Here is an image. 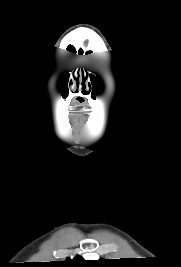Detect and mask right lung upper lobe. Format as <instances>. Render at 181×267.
I'll return each instance as SVG.
<instances>
[{
	"mask_svg": "<svg viewBox=\"0 0 181 267\" xmlns=\"http://www.w3.org/2000/svg\"><path fill=\"white\" fill-rule=\"evenodd\" d=\"M56 263L58 266H66V265H81L84 263V259L81 256H76L73 260H71L70 258H68L65 261L62 262H54Z\"/></svg>",
	"mask_w": 181,
	"mask_h": 267,
	"instance_id": "1",
	"label": "right lung upper lobe"
}]
</instances>
